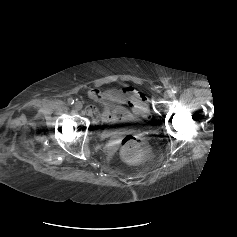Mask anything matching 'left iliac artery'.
Segmentation results:
<instances>
[{
	"label": "left iliac artery",
	"mask_w": 237,
	"mask_h": 237,
	"mask_svg": "<svg viewBox=\"0 0 237 237\" xmlns=\"http://www.w3.org/2000/svg\"><path fill=\"white\" fill-rule=\"evenodd\" d=\"M177 92H178V88H177V87H173V88H172V93L175 94V93H177Z\"/></svg>",
	"instance_id": "44dca946"
}]
</instances>
